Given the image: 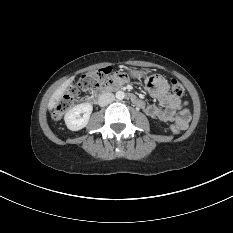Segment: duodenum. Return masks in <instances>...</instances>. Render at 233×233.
<instances>
[{
    "mask_svg": "<svg viewBox=\"0 0 233 233\" xmlns=\"http://www.w3.org/2000/svg\"><path fill=\"white\" fill-rule=\"evenodd\" d=\"M117 88V85H108L106 87H104L100 92L96 93V94H93L91 95L88 100L91 102V103H97L98 100L100 99V97L108 92H110L111 90L113 89H116ZM130 99L131 101L136 104L137 106L140 104V100L134 96V95H130Z\"/></svg>",
    "mask_w": 233,
    "mask_h": 233,
    "instance_id": "410a0bca",
    "label": "duodenum"
}]
</instances>
